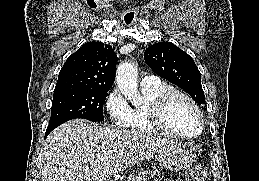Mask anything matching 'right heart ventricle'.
<instances>
[{"mask_svg": "<svg viewBox=\"0 0 259 181\" xmlns=\"http://www.w3.org/2000/svg\"><path fill=\"white\" fill-rule=\"evenodd\" d=\"M170 89H172L170 85L161 81L153 85L141 86L144 103L130 108L129 121L126 127L139 133L165 134L153 123L150 110L155 99Z\"/></svg>", "mask_w": 259, "mask_h": 181, "instance_id": "1", "label": "right heart ventricle"}]
</instances>
